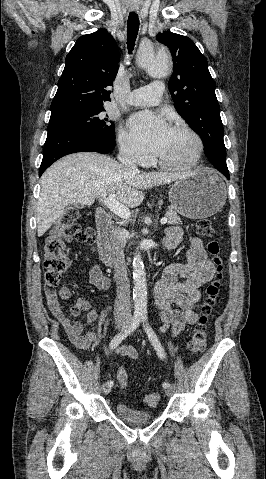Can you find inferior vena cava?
Returning <instances> with one entry per match:
<instances>
[{"instance_id":"1","label":"inferior vena cava","mask_w":266,"mask_h":479,"mask_svg":"<svg viewBox=\"0 0 266 479\" xmlns=\"http://www.w3.org/2000/svg\"><path fill=\"white\" fill-rule=\"evenodd\" d=\"M118 160L126 166L131 173L139 172L135 165V156L125 146L121 147ZM110 233L111 252L115 271L114 280L117 286L114 317L116 320H129L131 319L130 283L124 258L123 232L120 229L112 227Z\"/></svg>"}]
</instances>
